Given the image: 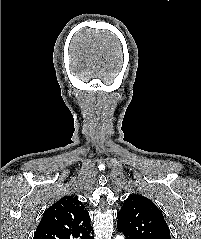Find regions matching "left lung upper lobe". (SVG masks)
I'll return each instance as SVG.
<instances>
[{"mask_svg": "<svg viewBox=\"0 0 201 239\" xmlns=\"http://www.w3.org/2000/svg\"><path fill=\"white\" fill-rule=\"evenodd\" d=\"M117 219V228L135 239H171L161 211L144 196L129 195Z\"/></svg>", "mask_w": 201, "mask_h": 239, "instance_id": "left-lung-upper-lobe-1", "label": "left lung upper lobe"}]
</instances>
